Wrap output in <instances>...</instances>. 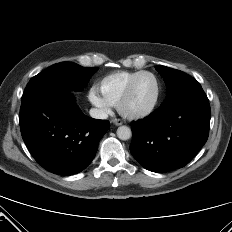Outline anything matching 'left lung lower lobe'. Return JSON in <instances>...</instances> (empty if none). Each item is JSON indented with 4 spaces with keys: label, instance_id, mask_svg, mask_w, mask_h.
<instances>
[{
    "label": "left lung lower lobe",
    "instance_id": "0a47b994",
    "mask_svg": "<svg viewBox=\"0 0 232 232\" xmlns=\"http://www.w3.org/2000/svg\"><path fill=\"white\" fill-rule=\"evenodd\" d=\"M210 105L201 87L162 104L133 121L130 151L147 170L163 173L184 167L207 141Z\"/></svg>",
    "mask_w": 232,
    "mask_h": 232
}]
</instances>
